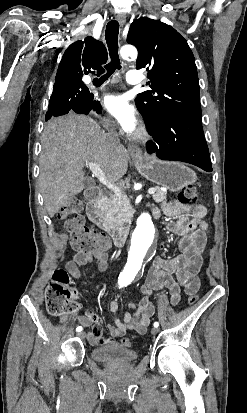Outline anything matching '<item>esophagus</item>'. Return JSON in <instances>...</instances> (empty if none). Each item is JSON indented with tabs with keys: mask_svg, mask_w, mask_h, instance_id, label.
I'll use <instances>...</instances> for the list:
<instances>
[{
	"mask_svg": "<svg viewBox=\"0 0 247 413\" xmlns=\"http://www.w3.org/2000/svg\"><path fill=\"white\" fill-rule=\"evenodd\" d=\"M116 20L123 27V25L126 22V15L118 14V15H116ZM128 150H129V152H130L133 159L139 158L142 155V150L138 145L128 144Z\"/></svg>",
	"mask_w": 247,
	"mask_h": 413,
	"instance_id": "34e87169",
	"label": "esophagus"
}]
</instances>
